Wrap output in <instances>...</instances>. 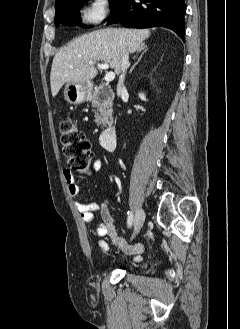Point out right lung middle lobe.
<instances>
[{
	"label": "right lung middle lobe",
	"mask_w": 240,
	"mask_h": 329,
	"mask_svg": "<svg viewBox=\"0 0 240 329\" xmlns=\"http://www.w3.org/2000/svg\"><path fill=\"white\" fill-rule=\"evenodd\" d=\"M88 0H68L59 7L55 8V24L77 25L80 24L79 10L83 7V3ZM123 0H109L111 5V15L119 7ZM110 15V16H111Z\"/></svg>",
	"instance_id": "right-lung-middle-lobe-1"
}]
</instances>
